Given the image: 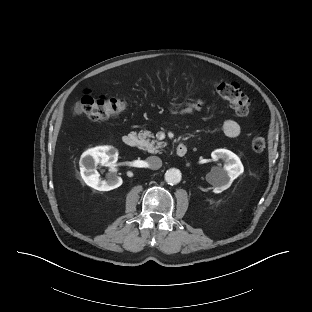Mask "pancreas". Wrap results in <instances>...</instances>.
<instances>
[{"label": "pancreas", "instance_id": "obj_1", "mask_svg": "<svg viewBox=\"0 0 312 312\" xmlns=\"http://www.w3.org/2000/svg\"><path fill=\"white\" fill-rule=\"evenodd\" d=\"M153 134L150 131L140 132L138 138L140 139V148L147 150L149 153H160L166 143L159 142L157 140L150 141L149 138H153Z\"/></svg>", "mask_w": 312, "mask_h": 312}]
</instances>
